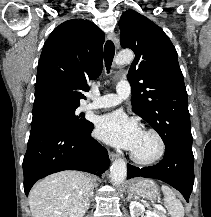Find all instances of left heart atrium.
I'll return each instance as SVG.
<instances>
[{
  "label": "left heart atrium",
  "mask_w": 211,
  "mask_h": 217,
  "mask_svg": "<svg viewBox=\"0 0 211 217\" xmlns=\"http://www.w3.org/2000/svg\"><path fill=\"white\" fill-rule=\"evenodd\" d=\"M96 135L106 143L128 150H133L142 134L136 121L121 112H113L99 117Z\"/></svg>",
  "instance_id": "left-heart-atrium-1"
}]
</instances>
